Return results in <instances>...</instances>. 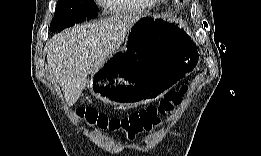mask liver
Instances as JSON below:
<instances>
[{
	"label": "liver",
	"mask_w": 261,
	"mask_h": 156,
	"mask_svg": "<svg viewBox=\"0 0 261 156\" xmlns=\"http://www.w3.org/2000/svg\"><path fill=\"white\" fill-rule=\"evenodd\" d=\"M139 19L137 15L112 16L75 26L46 43L47 68L53 80L60 84L69 106L81 96L88 74L96 73L119 50Z\"/></svg>",
	"instance_id": "liver-1"
}]
</instances>
